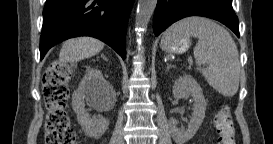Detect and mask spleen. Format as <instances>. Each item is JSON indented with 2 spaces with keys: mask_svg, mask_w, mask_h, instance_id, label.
I'll list each match as a JSON object with an SVG mask.
<instances>
[{
  "mask_svg": "<svg viewBox=\"0 0 273 144\" xmlns=\"http://www.w3.org/2000/svg\"><path fill=\"white\" fill-rule=\"evenodd\" d=\"M177 36L198 38L194 48L198 70L220 94L234 96L239 87L240 66L237 46L229 32L210 19L192 16L172 25L163 39Z\"/></svg>",
  "mask_w": 273,
  "mask_h": 144,
  "instance_id": "1",
  "label": "spleen"
}]
</instances>
